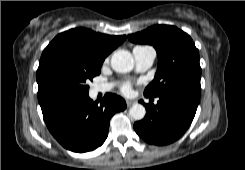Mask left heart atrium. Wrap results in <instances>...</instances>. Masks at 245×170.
<instances>
[{"label": "left heart atrium", "mask_w": 245, "mask_h": 170, "mask_svg": "<svg viewBox=\"0 0 245 170\" xmlns=\"http://www.w3.org/2000/svg\"><path fill=\"white\" fill-rule=\"evenodd\" d=\"M122 91L126 94L130 93L131 91V85L130 84H125L122 88Z\"/></svg>", "instance_id": "left-heart-atrium-1"}]
</instances>
